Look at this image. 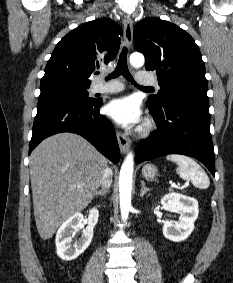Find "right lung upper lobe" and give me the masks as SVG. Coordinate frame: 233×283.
Here are the masks:
<instances>
[{"instance_id":"obj_1","label":"right lung upper lobe","mask_w":233,"mask_h":283,"mask_svg":"<svg viewBox=\"0 0 233 283\" xmlns=\"http://www.w3.org/2000/svg\"><path fill=\"white\" fill-rule=\"evenodd\" d=\"M121 27L110 18L81 24L56 45L41 82L66 80L90 86L94 70H105L120 47Z\"/></svg>"}]
</instances>
